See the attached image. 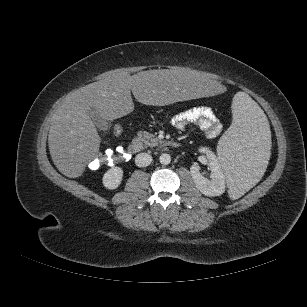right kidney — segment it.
I'll use <instances>...</instances> for the list:
<instances>
[{
	"label": "right kidney",
	"mask_w": 307,
	"mask_h": 307,
	"mask_svg": "<svg viewBox=\"0 0 307 307\" xmlns=\"http://www.w3.org/2000/svg\"><path fill=\"white\" fill-rule=\"evenodd\" d=\"M122 178V168L112 167L103 175V185L110 190L116 189L121 184Z\"/></svg>",
	"instance_id": "right-kidney-1"
}]
</instances>
